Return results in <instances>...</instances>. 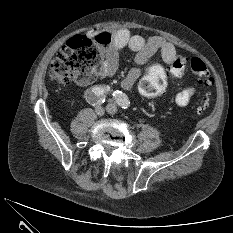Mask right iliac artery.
I'll return each mask as SVG.
<instances>
[{"mask_svg":"<svg viewBox=\"0 0 233 233\" xmlns=\"http://www.w3.org/2000/svg\"><path fill=\"white\" fill-rule=\"evenodd\" d=\"M110 91L109 86H97L94 87L86 94V99L90 104L100 105L105 102L106 94Z\"/></svg>","mask_w":233,"mask_h":233,"instance_id":"82829eb1","label":"right iliac artery"}]
</instances>
